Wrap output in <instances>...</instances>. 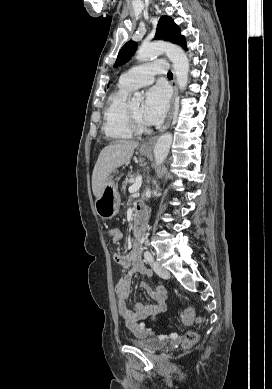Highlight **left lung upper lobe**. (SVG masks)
Listing matches in <instances>:
<instances>
[{
    "label": "left lung upper lobe",
    "instance_id": "5c2ea615",
    "mask_svg": "<svg viewBox=\"0 0 272 389\" xmlns=\"http://www.w3.org/2000/svg\"><path fill=\"white\" fill-rule=\"evenodd\" d=\"M155 38L170 41L172 43L180 45L184 49H187L185 38L184 36L181 35V31L179 27L173 22L171 17L168 16L160 17L157 25ZM136 48H137L136 42L134 41L127 42L121 48L114 66L117 67L127 62L130 56H132L133 53L135 52Z\"/></svg>",
    "mask_w": 272,
    "mask_h": 389
}]
</instances>
